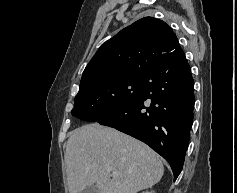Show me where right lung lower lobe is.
<instances>
[{
	"mask_svg": "<svg viewBox=\"0 0 237 193\" xmlns=\"http://www.w3.org/2000/svg\"><path fill=\"white\" fill-rule=\"evenodd\" d=\"M194 81L183 50L162 60L143 80L137 97L97 122L149 145L182 170L193 121Z\"/></svg>",
	"mask_w": 237,
	"mask_h": 193,
	"instance_id": "98d812e1",
	"label": "right lung lower lobe"
}]
</instances>
